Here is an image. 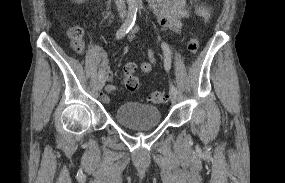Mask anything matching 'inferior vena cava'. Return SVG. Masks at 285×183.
Returning a JSON list of instances; mask_svg holds the SVG:
<instances>
[{
	"instance_id": "602c4592",
	"label": "inferior vena cava",
	"mask_w": 285,
	"mask_h": 183,
	"mask_svg": "<svg viewBox=\"0 0 285 183\" xmlns=\"http://www.w3.org/2000/svg\"><path fill=\"white\" fill-rule=\"evenodd\" d=\"M115 4L117 6V10L121 17L126 15V5L125 0H115Z\"/></svg>"
}]
</instances>
